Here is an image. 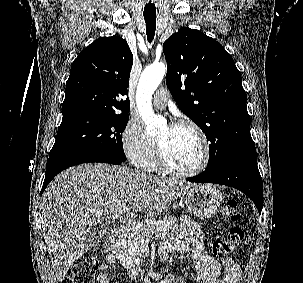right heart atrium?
Returning <instances> with one entry per match:
<instances>
[{
    "instance_id": "obj_1",
    "label": "right heart atrium",
    "mask_w": 303,
    "mask_h": 283,
    "mask_svg": "<svg viewBox=\"0 0 303 283\" xmlns=\"http://www.w3.org/2000/svg\"><path fill=\"white\" fill-rule=\"evenodd\" d=\"M122 149L135 166L145 165L156 152L155 141L146 135L139 122L130 120L121 136Z\"/></svg>"
}]
</instances>
